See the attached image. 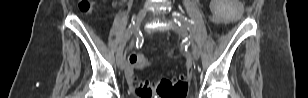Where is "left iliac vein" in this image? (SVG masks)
Masks as SVG:
<instances>
[{
	"label": "left iliac vein",
	"instance_id": "1",
	"mask_svg": "<svg viewBox=\"0 0 308 98\" xmlns=\"http://www.w3.org/2000/svg\"><path fill=\"white\" fill-rule=\"evenodd\" d=\"M159 16L164 21H166L176 33H178L179 35H182L184 37L188 36V32L184 27L179 26L177 23H175L173 20L167 18L162 13H160ZM191 48H192V54H193L194 58L196 60H198L199 57H200V53H199V50H198L197 46L194 44L192 39H191Z\"/></svg>",
	"mask_w": 308,
	"mask_h": 98
}]
</instances>
